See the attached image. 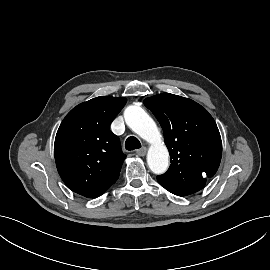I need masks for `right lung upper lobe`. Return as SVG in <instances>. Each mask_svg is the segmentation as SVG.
<instances>
[{"mask_svg": "<svg viewBox=\"0 0 270 270\" xmlns=\"http://www.w3.org/2000/svg\"><path fill=\"white\" fill-rule=\"evenodd\" d=\"M126 103L101 96L74 107L55 138L56 167L64 183L87 198L103 194L119 177L126 155L109 128Z\"/></svg>", "mask_w": 270, "mask_h": 270, "instance_id": "cb5924a9", "label": "right lung upper lobe"}]
</instances>
